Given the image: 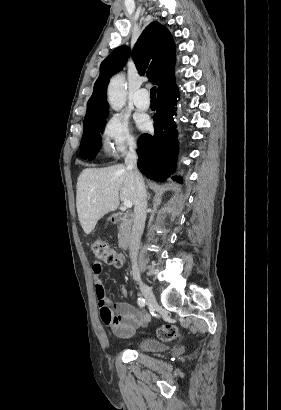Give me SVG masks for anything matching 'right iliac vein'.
Wrapping results in <instances>:
<instances>
[{"label":"right iliac vein","instance_id":"obj_1","mask_svg":"<svg viewBox=\"0 0 281 410\" xmlns=\"http://www.w3.org/2000/svg\"><path fill=\"white\" fill-rule=\"evenodd\" d=\"M139 288L142 292V295L144 296V298L152 305V306H156L157 302L154 296L153 291L151 290V288L146 285L144 282H139Z\"/></svg>","mask_w":281,"mask_h":410}]
</instances>
